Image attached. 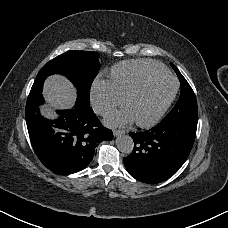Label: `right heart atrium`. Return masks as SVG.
Masks as SVG:
<instances>
[{
    "instance_id": "right-heart-atrium-1",
    "label": "right heart atrium",
    "mask_w": 228,
    "mask_h": 228,
    "mask_svg": "<svg viewBox=\"0 0 228 228\" xmlns=\"http://www.w3.org/2000/svg\"><path fill=\"white\" fill-rule=\"evenodd\" d=\"M91 103L94 110L99 114H105L123 103L110 80H97L91 89Z\"/></svg>"
}]
</instances>
